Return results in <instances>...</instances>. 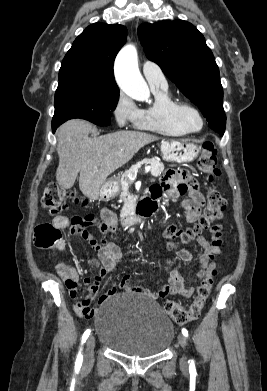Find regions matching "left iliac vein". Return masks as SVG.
I'll use <instances>...</instances> for the list:
<instances>
[{
    "mask_svg": "<svg viewBox=\"0 0 267 391\" xmlns=\"http://www.w3.org/2000/svg\"><path fill=\"white\" fill-rule=\"evenodd\" d=\"M178 342L182 348L186 347L187 340L183 334L178 335ZM180 366L184 370H187V368H188V361H187V357L185 355H183V357L180 360Z\"/></svg>",
    "mask_w": 267,
    "mask_h": 391,
    "instance_id": "left-iliac-vein-1",
    "label": "left iliac vein"
}]
</instances>
